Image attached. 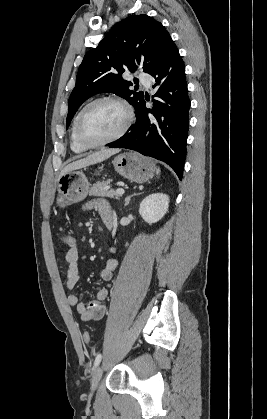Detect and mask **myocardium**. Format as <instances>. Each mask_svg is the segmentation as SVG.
I'll list each match as a JSON object with an SVG mask.
<instances>
[{"mask_svg": "<svg viewBox=\"0 0 267 419\" xmlns=\"http://www.w3.org/2000/svg\"><path fill=\"white\" fill-rule=\"evenodd\" d=\"M100 102H114V103L120 105L125 112V121H124L123 125L121 126V128L111 137H109L105 140L99 141V142L90 143V142L86 141L81 135V131H80L81 121H82L83 115L86 112V110L88 108H90L92 105L100 103ZM133 120H134L133 109H132L131 105L125 99H123L122 97H119V96H115V95L100 96V97H97V98L91 100L90 102H88L79 111V113L77 115V118H76V122H75V128H74L75 137H76L77 141L83 147H85L87 149L101 147V146H104L106 144L112 143V142L120 139L128 131L131 124L133 123Z\"/></svg>", "mask_w": 267, "mask_h": 419, "instance_id": "myocardium-1", "label": "myocardium"}]
</instances>
